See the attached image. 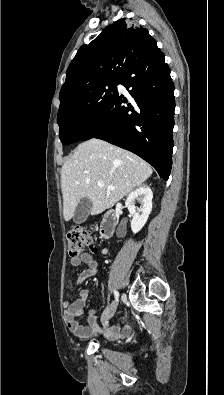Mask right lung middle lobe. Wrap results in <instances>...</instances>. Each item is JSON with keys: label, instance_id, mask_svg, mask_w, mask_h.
Listing matches in <instances>:
<instances>
[{"label": "right lung middle lobe", "instance_id": "right-lung-middle-lobe-1", "mask_svg": "<svg viewBox=\"0 0 224 395\" xmlns=\"http://www.w3.org/2000/svg\"><path fill=\"white\" fill-rule=\"evenodd\" d=\"M120 78L83 89L60 102L57 116L59 137L67 145L83 140L91 126L117 95Z\"/></svg>", "mask_w": 224, "mask_h": 395}]
</instances>
